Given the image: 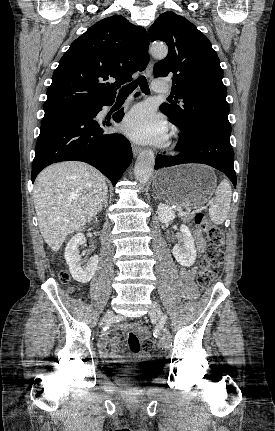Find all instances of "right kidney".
I'll list each match as a JSON object with an SVG mask.
<instances>
[{
  "instance_id": "right-kidney-1",
  "label": "right kidney",
  "mask_w": 275,
  "mask_h": 431,
  "mask_svg": "<svg viewBox=\"0 0 275 431\" xmlns=\"http://www.w3.org/2000/svg\"><path fill=\"white\" fill-rule=\"evenodd\" d=\"M86 242L83 233L75 234L67 243L64 257L69 266V271L72 277L80 282L87 283L94 276L98 266V256L94 255L90 260H83L79 255V247Z\"/></svg>"
}]
</instances>
